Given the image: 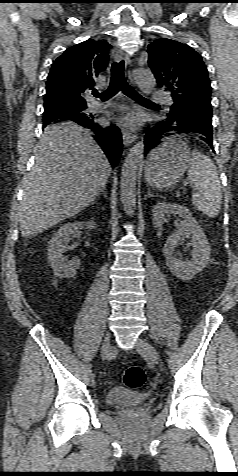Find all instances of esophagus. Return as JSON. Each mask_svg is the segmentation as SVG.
<instances>
[{"instance_id":"1","label":"esophagus","mask_w":238,"mask_h":476,"mask_svg":"<svg viewBox=\"0 0 238 476\" xmlns=\"http://www.w3.org/2000/svg\"><path fill=\"white\" fill-rule=\"evenodd\" d=\"M113 57L116 61H120V60L124 59L126 67H128L129 64H130L129 58L126 57L120 49L115 50V52L113 54ZM127 73H128V77H129L130 82L133 84V80L131 78L130 71L128 70ZM136 137L137 136H136V133L134 131L127 130V129L122 130V138H123V143H124L125 146H129L130 144H132L136 140Z\"/></svg>"}]
</instances>
